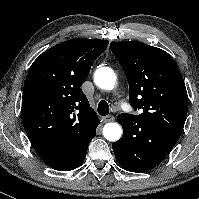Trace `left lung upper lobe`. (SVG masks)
Wrapping results in <instances>:
<instances>
[{
  "label": "left lung upper lobe",
  "mask_w": 199,
  "mask_h": 199,
  "mask_svg": "<svg viewBox=\"0 0 199 199\" xmlns=\"http://www.w3.org/2000/svg\"><path fill=\"white\" fill-rule=\"evenodd\" d=\"M110 48L127 77L130 104L143 110L139 115L120 116H133L179 138L186 120L188 96L174 59L164 50L141 42H111Z\"/></svg>",
  "instance_id": "left-lung-upper-lobe-1"
}]
</instances>
